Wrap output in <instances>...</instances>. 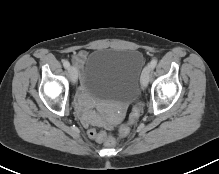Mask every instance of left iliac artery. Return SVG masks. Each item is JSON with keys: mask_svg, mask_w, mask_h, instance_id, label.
I'll return each mask as SVG.
<instances>
[{"mask_svg": "<svg viewBox=\"0 0 219 174\" xmlns=\"http://www.w3.org/2000/svg\"><path fill=\"white\" fill-rule=\"evenodd\" d=\"M158 60L156 58H153L150 62V67L151 69H154L155 66L157 65Z\"/></svg>", "mask_w": 219, "mask_h": 174, "instance_id": "44dca946", "label": "left iliac artery"}]
</instances>
